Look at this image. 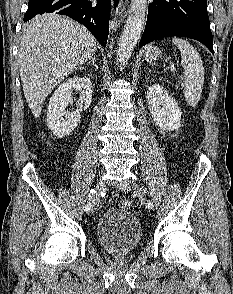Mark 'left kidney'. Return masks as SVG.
<instances>
[{"label": "left kidney", "instance_id": "5707ae66", "mask_svg": "<svg viewBox=\"0 0 233 294\" xmlns=\"http://www.w3.org/2000/svg\"><path fill=\"white\" fill-rule=\"evenodd\" d=\"M147 102L150 114L158 127L164 131L180 128L181 109L163 86L153 84L148 89Z\"/></svg>", "mask_w": 233, "mask_h": 294}]
</instances>
